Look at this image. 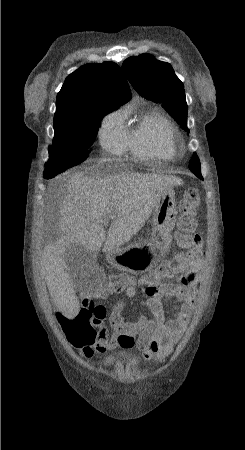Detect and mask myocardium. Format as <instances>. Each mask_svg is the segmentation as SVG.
<instances>
[{
  "label": "myocardium",
  "mask_w": 245,
  "mask_h": 450,
  "mask_svg": "<svg viewBox=\"0 0 245 450\" xmlns=\"http://www.w3.org/2000/svg\"><path fill=\"white\" fill-rule=\"evenodd\" d=\"M168 130H169L170 135L174 136L173 130H172V128L170 126L168 127Z\"/></svg>",
  "instance_id": "1"
}]
</instances>
